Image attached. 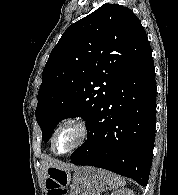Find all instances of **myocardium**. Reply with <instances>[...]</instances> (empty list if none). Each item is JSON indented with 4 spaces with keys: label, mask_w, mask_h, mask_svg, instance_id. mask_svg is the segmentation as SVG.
<instances>
[{
    "label": "myocardium",
    "mask_w": 178,
    "mask_h": 195,
    "mask_svg": "<svg viewBox=\"0 0 178 195\" xmlns=\"http://www.w3.org/2000/svg\"><path fill=\"white\" fill-rule=\"evenodd\" d=\"M67 126L75 127L79 131V138L76 141V143L69 149L63 152H56L54 149V142H55L56 135L61 129ZM88 136H89V128L84 120H82L81 118H77V117L67 119L63 121L53 132L51 141H50L51 149L55 154H58V155H64V154L71 153L77 150L78 148H80L86 142Z\"/></svg>",
    "instance_id": "f54148a6"
}]
</instances>
